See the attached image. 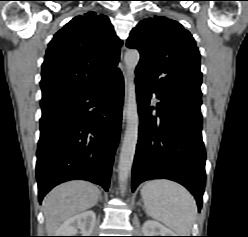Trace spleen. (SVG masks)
<instances>
[{
	"instance_id": "3e777b00",
	"label": "spleen",
	"mask_w": 248,
	"mask_h": 237,
	"mask_svg": "<svg viewBox=\"0 0 248 237\" xmlns=\"http://www.w3.org/2000/svg\"><path fill=\"white\" fill-rule=\"evenodd\" d=\"M146 213L179 236H189L197 213L193 196L169 180H151L141 189Z\"/></svg>"
}]
</instances>
